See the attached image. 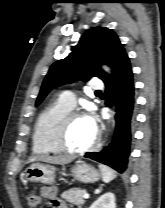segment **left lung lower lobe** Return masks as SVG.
I'll return each mask as SVG.
<instances>
[{
	"label": "left lung lower lobe",
	"instance_id": "obj_1",
	"mask_svg": "<svg viewBox=\"0 0 165 208\" xmlns=\"http://www.w3.org/2000/svg\"><path fill=\"white\" fill-rule=\"evenodd\" d=\"M106 105L116 106V127L112 142L100 152L86 153L119 173L127 170L136 120L133 74L128 56L105 81Z\"/></svg>",
	"mask_w": 165,
	"mask_h": 208
}]
</instances>
